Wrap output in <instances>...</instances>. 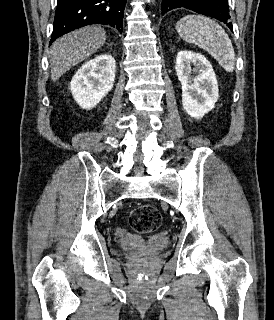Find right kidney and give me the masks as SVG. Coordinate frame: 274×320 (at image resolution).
I'll return each mask as SVG.
<instances>
[{
	"label": "right kidney",
	"mask_w": 274,
	"mask_h": 320,
	"mask_svg": "<svg viewBox=\"0 0 274 320\" xmlns=\"http://www.w3.org/2000/svg\"><path fill=\"white\" fill-rule=\"evenodd\" d=\"M116 60L111 54H100L85 62L70 82V92L80 108L92 110L112 90Z\"/></svg>",
	"instance_id": "1"
}]
</instances>
